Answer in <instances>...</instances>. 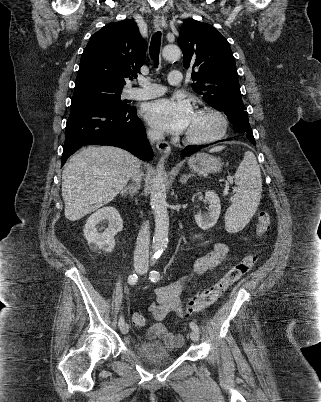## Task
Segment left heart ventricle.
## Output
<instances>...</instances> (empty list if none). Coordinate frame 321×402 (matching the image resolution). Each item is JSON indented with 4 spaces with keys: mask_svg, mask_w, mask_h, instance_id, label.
Returning a JSON list of instances; mask_svg holds the SVG:
<instances>
[{
    "mask_svg": "<svg viewBox=\"0 0 321 402\" xmlns=\"http://www.w3.org/2000/svg\"><path fill=\"white\" fill-rule=\"evenodd\" d=\"M218 129V120L210 113L194 112L186 133L205 137L212 135Z\"/></svg>",
    "mask_w": 321,
    "mask_h": 402,
    "instance_id": "obj_1",
    "label": "left heart ventricle"
}]
</instances>
